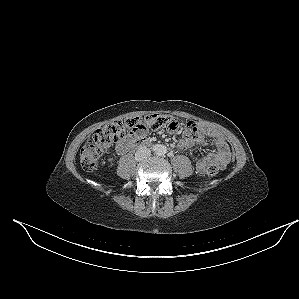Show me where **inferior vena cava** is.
I'll use <instances>...</instances> for the list:
<instances>
[{
  "mask_svg": "<svg viewBox=\"0 0 299 299\" xmlns=\"http://www.w3.org/2000/svg\"><path fill=\"white\" fill-rule=\"evenodd\" d=\"M151 155V150L146 147H140L135 153V159L137 161H142L147 159Z\"/></svg>",
  "mask_w": 299,
  "mask_h": 299,
  "instance_id": "inferior-vena-cava-1",
  "label": "inferior vena cava"
}]
</instances>
